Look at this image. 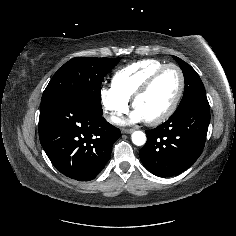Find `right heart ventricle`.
<instances>
[{"mask_svg":"<svg viewBox=\"0 0 236 236\" xmlns=\"http://www.w3.org/2000/svg\"><path fill=\"white\" fill-rule=\"evenodd\" d=\"M166 65L156 59H146L127 65L118 70L112 79L114 88L128 100L158 69Z\"/></svg>","mask_w":236,"mask_h":236,"instance_id":"1","label":"right heart ventricle"}]
</instances>
